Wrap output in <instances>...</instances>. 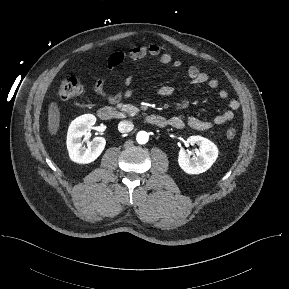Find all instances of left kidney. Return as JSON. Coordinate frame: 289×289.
I'll use <instances>...</instances> for the list:
<instances>
[{"label":"left kidney","mask_w":289,"mask_h":289,"mask_svg":"<svg viewBox=\"0 0 289 289\" xmlns=\"http://www.w3.org/2000/svg\"><path fill=\"white\" fill-rule=\"evenodd\" d=\"M186 142L197 144L199 151L196 156L191 158L184 149H181L178 157L181 169L188 174H200L207 171L218 157L217 146L209 139L201 136H191Z\"/></svg>","instance_id":"left-kidney-1"}]
</instances>
